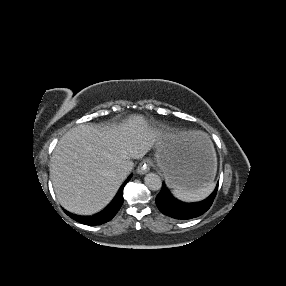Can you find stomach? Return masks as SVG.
Instances as JSON below:
<instances>
[{
    "instance_id": "stomach-1",
    "label": "stomach",
    "mask_w": 286,
    "mask_h": 286,
    "mask_svg": "<svg viewBox=\"0 0 286 286\" xmlns=\"http://www.w3.org/2000/svg\"><path fill=\"white\" fill-rule=\"evenodd\" d=\"M156 161L167 183L187 190L204 188L216 175L217 158L208 137L186 138L181 145L168 149L157 147Z\"/></svg>"
}]
</instances>
